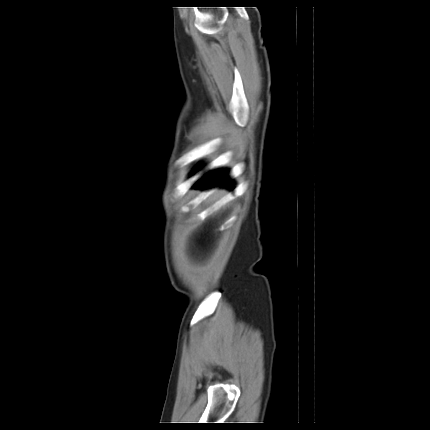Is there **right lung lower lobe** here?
<instances>
[{"mask_svg": "<svg viewBox=\"0 0 430 430\" xmlns=\"http://www.w3.org/2000/svg\"><path fill=\"white\" fill-rule=\"evenodd\" d=\"M226 174V172H221V171H214L211 172L209 174H207L206 176H204L203 178H201L199 181H197L194 184V188H198V187H202V188H209L212 187L214 185H218V184H222L226 187L229 188H233V184L230 181H226L224 175ZM222 177H224V179H222Z\"/></svg>", "mask_w": 430, "mask_h": 430, "instance_id": "98d812e1", "label": "right lung lower lobe"}]
</instances>
